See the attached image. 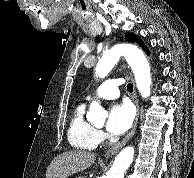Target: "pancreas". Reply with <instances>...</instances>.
Here are the masks:
<instances>
[{
	"label": "pancreas",
	"mask_w": 194,
	"mask_h": 178,
	"mask_svg": "<svg viewBox=\"0 0 194 178\" xmlns=\"http://www.w3.org/2000/svg\"><path fill=\"white\" fill-rule=\"evenodd\" d=\"M77 178H86V177H83V176H79V177H77Z\"/></svg>",
	"instance_id": "cf45deb5"
}]
</instances>
